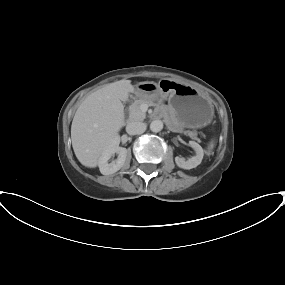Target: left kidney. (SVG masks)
Instances as JSON below:
<instances>
[{
    "instance_id": "left-kidney-1",
    "label": "left kidney",
    "mask_w": 285,
    "mask_h": 285,
    "mask_svg": "<svg viewBox=\"0 0 285 285\" xmlns=\"http://www.w3.org/2000/svg\"><path fill=\"white\" fill-rule=\"evenodd\" d=\"M189 145L195 150V156L189 158L188 160L180 157L175 158L177 166L183 169H192L197 167L202 162L204 156V151L198 143L195 141H189Z\"/></svg>"
}]
</instances>
